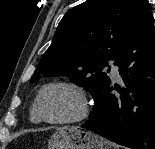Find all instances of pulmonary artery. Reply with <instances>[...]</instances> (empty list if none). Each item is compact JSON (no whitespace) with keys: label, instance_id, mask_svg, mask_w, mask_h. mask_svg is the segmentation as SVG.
I'll return each mask as SVG.
<instances>
[{"label":"pulmonary artery","instance_id":"1","mask_svg":"<svg viewBox=\"0 0 155 149\" xmlns=\"http://www.w3.org/2000/svg\"><path fill=\"white\" fill-rule=\"evenodd\" d=\"M110 74L114 79H119L118 68L113 64L110 65Z\"/></svg>","mask_w":155,"mask_h":149}]
</instances>
